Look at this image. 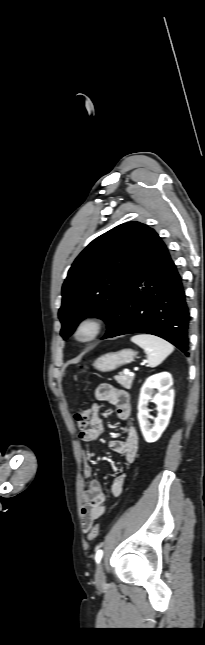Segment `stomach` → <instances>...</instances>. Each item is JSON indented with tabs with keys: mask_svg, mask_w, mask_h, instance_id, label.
<instances>
[{
	"mask_svg": "<svg viewBox=\"0 0 205 645\" xmlns=\"http://www.w3.org/2000/svg\"><path fill=\"white\" fill-rule=\"evenodd\" d=\"M134 356L135 352L131 349L110 352L97 358L93 363V367L100 372H110L120 366L131 363L134 360Z\"/></svg>",
	"mask_w": 205,
	"mask_h": 645,
	"instance_id": "stomach-1",
	"label": "stomach"
}]
</instances>
